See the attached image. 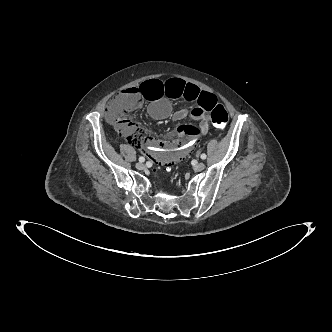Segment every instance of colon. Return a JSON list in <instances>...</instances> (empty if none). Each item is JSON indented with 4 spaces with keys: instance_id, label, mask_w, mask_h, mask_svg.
Wrapping results in <instances>:
<instances>
[{
    "instance_id": "colon-1",
    "label": "colon",
    "mask_w": 332,
    "mask_h": 332,
    "mask_svg": "<svg viewBox=\"0 0 332 332\" xmlns=\"http://www.w3.org/2000/svg\"><path fill=\"white\" fill-rule=\"evenodd\" d=\"M142 102L143 98L140 95V88L126 89L109 102L107 108L108 119L122 134H126L133 126L130 121V115L141 107ZM209 112L211 120L216 127L224 128L226 126L229 116L226 108L220 102L216 101Z\"/></svg>"
}]
</instances>
